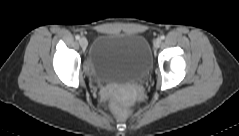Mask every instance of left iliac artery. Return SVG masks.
Here are the masks:
<instances>
[{"label": "left iliac artery", "mask_w": 239, "mask_h": 136, "mask_svg": "<svg viewBox=\"0 0 239 136\" xmlns=\"http://www.w3.org/2000/svg\"><path fill=\"white\" fill-rule=\"evenodd\" d=\"M160 38H161V40H164V39H165V36H164V35H161Z\"/></svg>", "instance_id": "1"}]
</instances>
